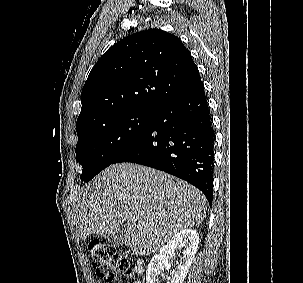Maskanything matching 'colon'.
<instances>
[{
    "instance_id": "obj_1",
    "label": "colon",
    "mask_w": 303,
    "mask_h": 283,
    "mask_svg": "<svg viewBox=\"0 0 303 283\" xmlns=\"http://www.w3.org/2000/svg\"><path fill=\"white\" fill-rule=\"evenodd\" d=\"M87 250L96 274L107 283H115L120 271H133L129 259L111 245L94 239L88 243Z\"/></svg>"
}]
</instances>
